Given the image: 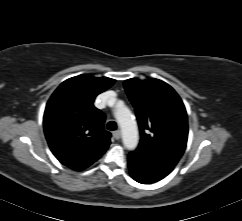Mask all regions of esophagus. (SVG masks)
Segmentation results:
<instances>
[{
	"instance_id": "esophagus-1",
	"label": "esophagus",
	"mask_w": 242,
	"mask_h": 221,
	"mask_svg": "<svg viewBox=\"0 0 242 221\" xmlns=\"http://www.w3.org/2000/svg\"><path fill=\"white\" fill-rule=\"evenodd\" d=\"M113 137L116 140H119L121 138V132L119 130L113 132Z\"/></svg>"
}]
</instances>
